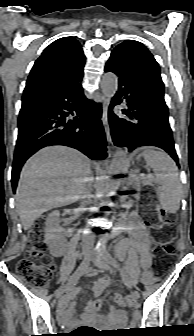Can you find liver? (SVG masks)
<instances>
[{
    "instance_id": "1",
    "label": "liver",
    "mask_w": 194,
    "mask_h": 336,
    "mask_svg": "<svg viewBox=\"0 0 194 336\" xmlns=\"http://www.w3.org/2000/svg\"><path fill=\"white\" fill-rule=\"evenodd\" d=\"M90 174V160L73 148L50 146L34 154L22 168L16 191L24 230L42 213L81 199Z\"/></svg>"
}]
</instances>
